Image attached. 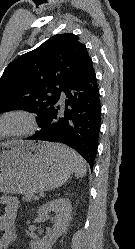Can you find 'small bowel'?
<instances>
[{
    "label": "small bowel",
    "mask_w": 135,
    "mask_h": 249,
    "mask_svg": "<svg viewBox=\"0 0 135 249\" xmlns=\"http://www.w3.org/2000/svg\"><path fill=\"white\" fill-rule=\"evenodd\" d=\"M0 203L4 205V213L0 215V249H7L17 236L15 221L19 208V201L12 196H3Z\"/></svg>",
    "instance_id": "obj_1"
}]
</instances>
